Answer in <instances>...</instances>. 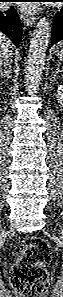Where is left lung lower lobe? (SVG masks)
<instances>
[{
  "instance_id": "left-lung-lower-lobe-1",
  "label": "left lung lower lobe",
  "mask_w": 63,
  "mask_h": 297,
  "mask_svg": "<svg viewBox=\"0 0 63 297\" xmlns=\"http://www.w3.org/2000/svg\"><path fill=\"white\" fill-rule=\"evenodd\" d=\"M61 40H63V7L55 15L53 20L51 44L53 45Z\"/></svg>"
}]
</instances>
